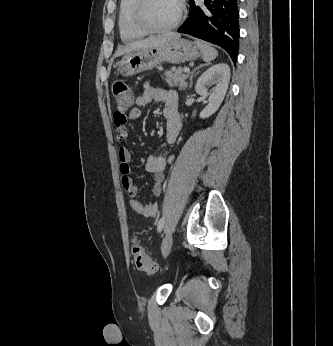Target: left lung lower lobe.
<instances>
[{
    "instance_id": "1",
    "label": "left lung lower lobe",
    "mask_w": 333,
    "mask_h": 346,
    "mask_svg": "<svg viewBox=\"0 0 333 346\" xmlns=\"http://www.w3.org/2000/svg\"><path fill=\"white\" fill-rule=\"evenodd\" d=\"M180 33L203 39L225 49L236 62L239 48V11L237 0H190L189 17Z\"/></svg>"
}]
</instances>
